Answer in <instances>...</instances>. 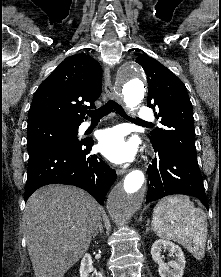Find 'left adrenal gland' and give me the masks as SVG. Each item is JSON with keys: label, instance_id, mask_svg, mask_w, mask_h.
I'll list each match as a JSON object with an SVG mask.
<instances>
[{"label": "left adrenal gland", "instance_id": "a2214340", "mask_svg": "<svg viewBox=\"0 0 221 277\" xmlns=\"http://www.w3.org/2000/svg\"><path fill=\"white\" fill-rule=\"evenodd\" d=\"M149 223H150V220H147L146 232H149L150 230L152 231V228H150Z\"/></svg>", "mask_w": 221, "mask_h": 277}]
</instances>
